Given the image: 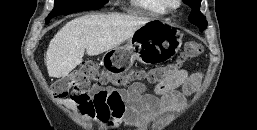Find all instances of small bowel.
Returning <instances> with one entry per match:
<instances>
[{
	"label": "small bowel",
	"mask_w": 257,
	"mask_h": 130,
	"mask_svg": "<svg viewBox=\"0 0 257 130\" xmlns=\"http://www.w3.org/2000/svg\"><path fill=\"white\" fill-rule=\"evenodd\" d=\"M201 79V74L181 69L157 83L153 94L147 93L146 86L140 82L121 90L96 84L84 101L56 97V103L109 130L118 128L123 118L126 129L147 130L160 115L179 107L194 93ZM179 87L181 91L177 90Z\"/></svg>",
	"instance_id": "c3829d8e"
}]
</instances>
